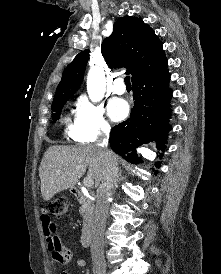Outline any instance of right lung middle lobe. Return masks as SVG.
<instances>
[{
	"mask_svg": "<svg viewBox=\"0 0 221 274\" xmlns=\"http://www.w3.org/2000/svg\"><path fill=\"white\" fill-rule=\"evenodd\" d=\"M71 97L72 95H64L54 98L51 106V109L54 112L52 115L54 122H56V120L60 117L59 113L61 112L66 101L69 100Z\"/></svg>",
	"mask_w": 221,
	"mask_h": 274,
	"instance_id": "1",
	"label": "right lung middle lobe"
}]
</instances>
